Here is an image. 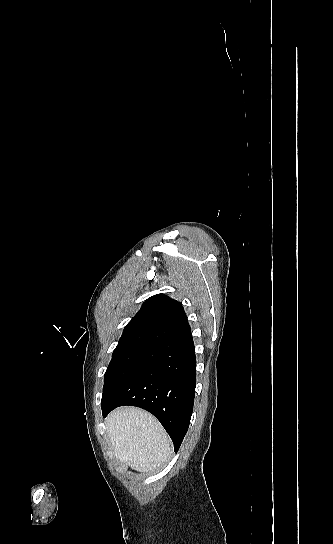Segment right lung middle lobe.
<instances>
[{
  "label": "right lung middle lobe",
  "mask_w": 333,
  "mask_h": 544,
  "mask_svg": "<svg viewBox=\"0 0 333 544\" xmlns=\"http://www.w3.org/2000/svg\"><path fill=\"white\" fill-rule=\"evenodd\" d=\"M152 347L134 346L113 351L104 376L101 407L129 380L139 365L148 357Z\"/></svg>",
  "instance_id": "obj_1"
}]
</instances>
